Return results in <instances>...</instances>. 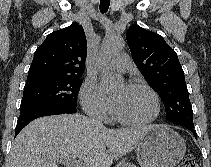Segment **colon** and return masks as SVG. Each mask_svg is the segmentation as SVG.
I'll use <instances>...</instances> for the list:
<instances>
[{
	"label": "colon",
	"mask_w": 211,
	"mask_h": 167,
	"mask_svg": "<svg viewBox=\"0 0 211 167\" xmlns=\"http://www.w3.org/2000/svg\"><path fill=\"white\" fill-rule=\"evenodd\" d=\"M178 167H197V164L194 157L189 155L183 158Z\"/></svg>",
	"instance_id": "colon-1"
}]
</instances>
